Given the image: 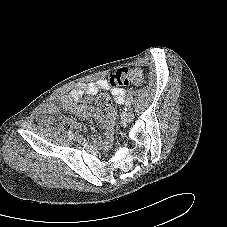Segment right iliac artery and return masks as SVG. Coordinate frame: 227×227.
Wrapping results in <instances>:
<instances>
[{"label":"right iliac artery","mask_w":227,"mask_h":227,"mask_svg":"<svg viewBox=\"0 0 227 227\" xmlns=\"http://www.w3.org/2000/svg\"><path fill=\"white\" fill-rule=\"evenodd\" d=\"M68 135H69V137H71V138L74 137V134H73V132H72L71 130H69Z\"/></svg>","instance_id":"1"}]
</instances>
